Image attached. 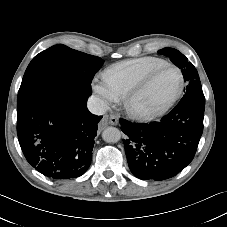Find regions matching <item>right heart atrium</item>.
I'll list each match as a JSON object with an SVG mask.
<instances>
[{
  "label": "right heart atrium",
  "instance_id": "d8ad5b80",
  "mask_svg": "<svg viewBox=\"0 0 227 227\" xmlns=\"http://www.w3.org/2000/svg\"><path fill=\"white\" fill-rule=\"evenodd\" d=\"M92 88L94 92L98 95V97L102 100V102L105 104L112 103L118 100L117 94L109 86L104 76H102V79L100 80H94Z\"/></svg>",
  "mask_w": 227,
  "mask_h": 227
}]
</instances>
